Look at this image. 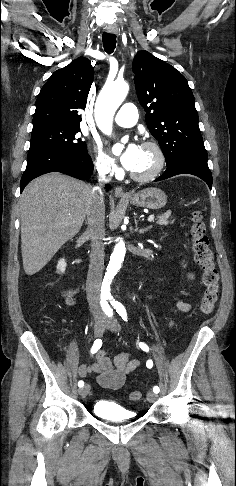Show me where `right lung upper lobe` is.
I'll return each mask as SVG.
<instances>
[{"label": "right lung upper lobe", "mask_w": 236, "mask_h": 486, "mask_svg": "<svg viewBox=\"0 0 236 486\" xmlns=\"http://www.w3.org/2000/svg\"><path fill=\"white\" fill-rule=\"evenodd\" d=\"M93 80L91 62L79 57L55 71L36 100L33 127L43 124L80 125Z\"/></svg>", "instance_id": "cb5924a9"}]
</instances>
